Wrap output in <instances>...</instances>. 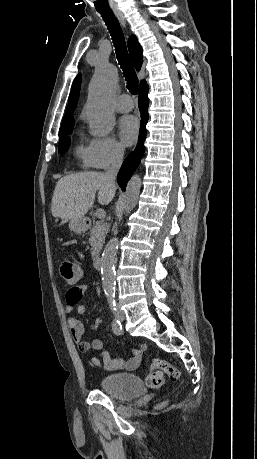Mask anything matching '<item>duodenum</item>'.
<instances>
[{"label":"duodenum","instance_id":"1","mask_svg":"<svg viewBox=\"0 0 257 459\" xmlns=\"http://www.w3.org/2000/svg\"><path fill=\"white\" fill-rule=\"evenodd\" d=\"M84 226L89 225V221H84L83 222ZM94 265L97 270H99L102 267V258L99 255H95L94 257Z\"/></svg>","mask_w":257,"mask_h":459}]
</instances>
